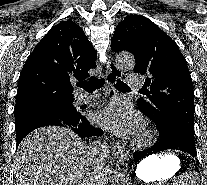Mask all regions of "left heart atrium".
Here are the masks:
<instances>
[{
	"mask_svg": "<svg viewBox=\"0 0 207 185\" xmlns=\"http://www.w3.org/2000/svg\"><path fill=\"white\" fill-rule=\"evenodd\" d=\"M98 121L115 134L134 137L143 127V119L126 101L115 102L98 113Z\"/></svg>",
	"mask_w": 207,
	"mask_h": 185,
	"instance_id": "39dd6f15",
	"label": "left heart atrium"
}]
</instances>
